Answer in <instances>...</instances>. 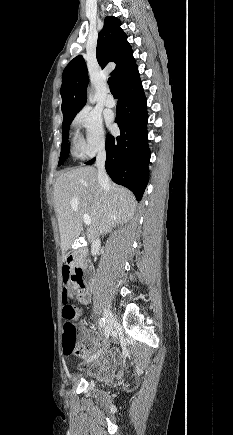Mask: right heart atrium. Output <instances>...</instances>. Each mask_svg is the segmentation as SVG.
Returning <instances> with one entry per match:
<instances>
[{
    "instance_id": "1",
    "label": "right heart atrium",
    "mask_w": 233,
    "mask_h": 435,
    "mask_svg": "<svg viewBox=\"0 0 233 435\" xmlns=\"http://www.w3.org/2000/svg\"><path fill=\"white\" fill-rule=\"evenodd\" d=\"M73 125L81 128L84 135L76 141V152L81 157H90L100 152L105 146V133L101 117L90 108L77 113Z\"/></svg>"
}]
</instances>
